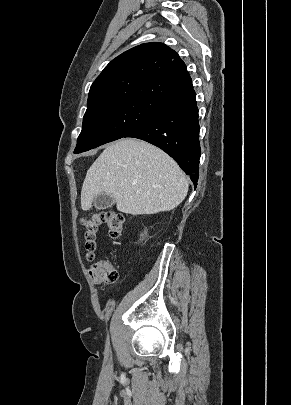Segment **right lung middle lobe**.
<instances>
[{"instance_id":"1","label":"right lung middle lobe","mask_w":291,"mask_h":405,"mask_svg":"<svg viewBox=\"0 0 291 405\" xmlns=\"http://www.w3.org/2000/svg\"><path fill=\"white\" fill-rule=\"evenodd\" d=\"M164 104L145 98H126L87 108L74 153L125 137L148 122Z\"/></svg>"}]
</instances>
